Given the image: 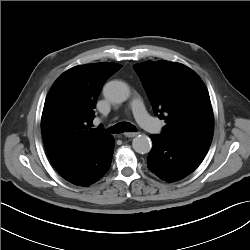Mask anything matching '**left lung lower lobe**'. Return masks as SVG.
<instances>
[{"label": "left lung lower lobe", "instance_id": "0a47b994", "mask_svg": "<svg viewBox=\"0 0 250 250\" xmlns=\"http://www.w3.org/2000/svg\"><path fill=\"white\" fill-rule=\"evenodd\" d=\"M153 147L147 157L148 168L161 179L174 182L192 173L202 162L210 144L170 140L151 135Z\"/></svg>", "mask_w": 250, "mask_h": 250}]
</instances>
